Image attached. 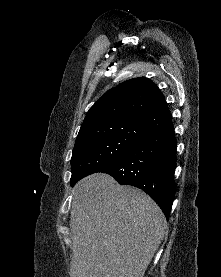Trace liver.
I'll return each mask as SVG.
<instances>
[{
    "instance_id": "liver-1",
    "label": "liver",
    "mask_w": 221,
    "mask_h": 277,
    "mask_svg": "<svg viewBox=\"0 0 221 277\" xmlns=\"http://www.w3.org/2000/svg\"><path fill=\"white\" fill-rule=\"evenodd\" d=\"M71 277H144L167 222L143 191L96 173L72 190Z\"/></svg>"
}]
</instances>
